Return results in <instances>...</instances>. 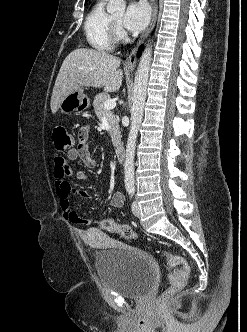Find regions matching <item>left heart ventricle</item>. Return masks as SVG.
Segmentation results:
<instances>
[{
  "label": "left heart ventricle",
  "instance_id": "b2bd125f",
  "mask_svg": "<svg viewBox=\"0 0 247 332\" xmlns=\"http://www.w3.org/2000/svg\"><path fill=\"white\" fill-rule=\"evenodd\" d=\"M112 18L117 24H119L121 26V22H122V15L121 14L120 15H114Z\"/></svg>",
  "mask_w": 247,
  "mask_h": 332
}]
</instances>
